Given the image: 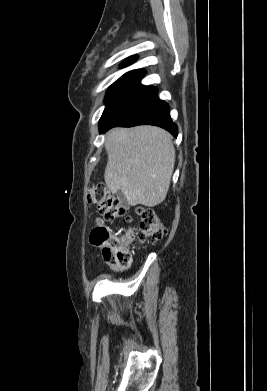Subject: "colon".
<instances>
[{
  "mask_svg": "<svg viewBox=\"0 0 267 391\" xmlns=\"http://www.w3.org/2000/svg\"><path fill=\"white\" fill-rule=\"evenodd\" d=\"M87 201L106 220L116 221L126 217V207L119 198L110 193L103 183H94L89 187ZM137 215L136 226L125 229L121 234L113 233L107 226L95 227L90 234L91 244L103 247L105 261L120 269H128L131 266L132 257L129 245L135 239L155 242L160 240L165 233L154 210L140 207L137 209Z\"/></svg>",
  "mask_w": 267,
  "mask_h": 391,
  "instance_id": "5ec220e1",
  "label": "colon"
}]
</instances>
